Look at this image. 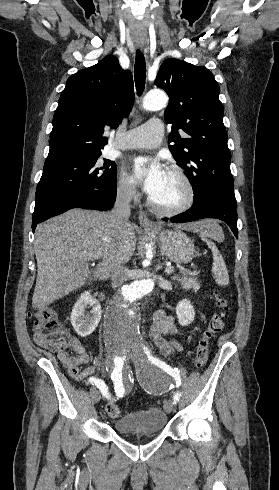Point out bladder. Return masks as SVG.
I'll list each match as a JSON object with an SVG mask.
<instances>
[{
  "label": "bladder",
  "instance_id": "31cf9c89",
  "mask_svg": "<svg viewBox=\"0 0 279 490\" xmlns=\"http://www.w3.org/2000/svg\"><path fill=\"white\" fill-rule=\"evenodd\" d=\"M167 413L159 407L154 406L150 409L131 412L124 417L113 422V428L118 435L130 434H150L164 430L167 424Z\"/></svg>",
  "mask_w": 279,
  "mask_h": 490
}]
</instances>
